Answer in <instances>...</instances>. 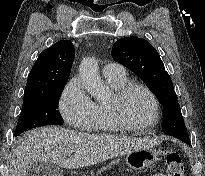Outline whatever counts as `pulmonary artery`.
<instances>
[{
    "mask_svg": "<svg viewBox=\"0 0 205 176\" xmlns=\"http://www.w3.org/2000/svg\"><path fill=\"white\" fill-rule=\"evenodd\" d=\"M103 75L105 77H124L126 72L123 65L111 62L103 67Z\"/></svg>",
    "mask_w": 205,
    "mask_h": 176,
    "instance_id": "obj_1",
    "label": "pulmonary artery"
}]
</instances>
